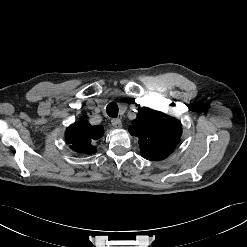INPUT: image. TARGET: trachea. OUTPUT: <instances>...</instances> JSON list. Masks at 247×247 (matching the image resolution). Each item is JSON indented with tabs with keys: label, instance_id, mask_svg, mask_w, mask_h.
<instances>
[{
	"label": "trachea",
	"instance_id": "trachea-1",
	"mask_svg": "<svg viewBox=\"0 0 247 247\" xmlns=\"http://www.w3.org/2000/svg\"><path fill=\"white\" fill-rule=\"evenodd\" d=\"M107 114L110 117H117L118 115V106L115 102H111L108 104L107 108H106Z\"/></svg>",
	"mask_w": 247,
	"mask_h": 247
}]
</instances>
